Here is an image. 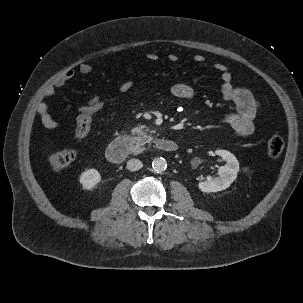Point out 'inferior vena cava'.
I'll return each mask as SVG.
<instances>
[{"label":"inferior vena cava","instance_id":"602c4592","mask_svg":"<svg viewBox=\"0 0 303 303\" xmlns=\"http://www.w3.org/2000/svg\"><path fill=\"white\" fill-rule=\"evenodd\" d=\"M143 167V164L138 159H130L127 162V169L130 171H137Z\"/></svg>","mask_w":303,"mask_h":303}]
</instances>
